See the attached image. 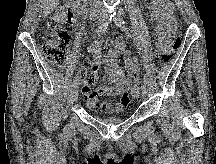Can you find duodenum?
<instances>
[{"label": "duodenum", "mask_w": 216, "mask_h": 164, "mask_svg": "<svg viewBox=\"0 0 216 164\" xmlns=\"http://www.w3.org/2000/svg\"><path fill=\"white\" fill-rule=\"evenodd\" d=\"M69 2L76 12L85 15L89 14L87 0H69Z\"/></svg>", "instance_id": "duodenum-1"}]
</instances>
